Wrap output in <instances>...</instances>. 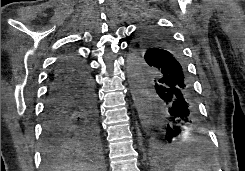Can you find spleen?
Masks as SVG:
<instances>
[{
  "instance_id": "obj_1",
  "label": "spleen",
  "mask_w": 245,
  "mask_h": 171,
  "mask_svg": "<svg viewBox=\"0 0 245 171\" xmlns=\"http://www.w3.org/2000/svg\"><path fill=\"white\" fill-rule=\"evenodd\" d=\"M174 171H211V169L200 158L186 156L175 163Z\"/></svg>"
}]
</instances>
